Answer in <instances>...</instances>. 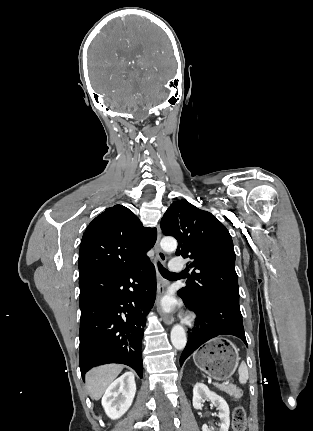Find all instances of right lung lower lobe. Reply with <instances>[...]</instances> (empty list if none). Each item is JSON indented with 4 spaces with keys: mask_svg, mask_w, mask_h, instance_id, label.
<instances>
[{
    "mask_svg": "<svg viewBox=\"0 0 313 431\" xmlns=\"http://www.w3.org/2000/svg\"><path fill=\"white\" fill-rule=\"evenodd\" d=\"M81 375L94 366L121 363L142 378L141 340L156 295L154 265L79 279Z\"/></svg>",
    "mask_w": 313,
    "mask_h": 431,
    "instance_id": "98d812e1",
    "label": "right lung lower lobe"
}]
</instances>
